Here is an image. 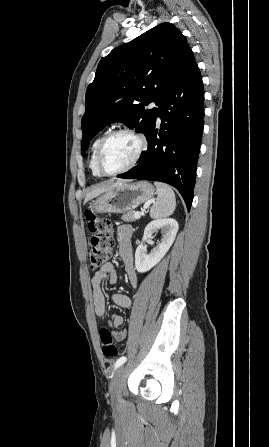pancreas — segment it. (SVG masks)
I'll return each mask as SVG.
<instances>
[{
  "label": "pancreas",
  "instance_id": "obj_1",
  "mask_svg": "<svg viewBox=\"0 0 269 447\" xmlns=\"http://www.w3.org/2000/svg\"><path fill=\"white\" fill-rule=\"evenodd\" d=\"M134 214L135 212H127V214H124V216H122V220H124V222H136Z\"/></svg>",
  "mask_w": 269,
  "mask_h": 447
}]
</instances>
